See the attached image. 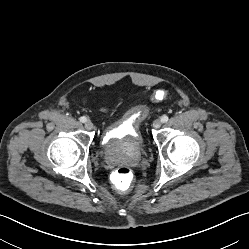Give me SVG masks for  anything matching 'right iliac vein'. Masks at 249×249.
<instances>
[{"label":"right iliac vein","instance_id":"63e3f726","mask_svg":"<svg viewBox=\"0 0 249 249\" xmlns=\"http://www.w3.org/2000/svg\"><path fill=\"white\" fill-rule=\"evenodd\" d=\"M85 128H86L87 130H92V129L94 128V125H93V123H92L91 121H87V122L85 123Z\"/></svg>","mask_w":249,"mask_h":249}]
</instances>
